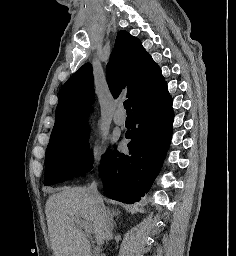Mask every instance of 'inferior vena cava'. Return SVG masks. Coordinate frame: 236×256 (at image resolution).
Instances as JSON below:
<instances>
[{"instance_id": "1", "label": "inferior vena cava", "mask_w": 236, "mask_h": 256, "mask_svg": "<svg viewBox=\"0 0 236 256\" xmlns=\"http://www.w3.org/2000/svg\"><path fill=\"white\" fill-rule=\"evenodd\" d=\"M87 192L88 194H90V196H92V198H96V200H99V202H101V198L99 196V192L97 190V184L96 182H92V184H90L89 188H87ZM102 206V204H101ZM103 210H105V208H103ZM105 232V238H108L109 234H110V230L108 228V220H107V226L106 228H104Z\"/></svg>"}]
</instances>
